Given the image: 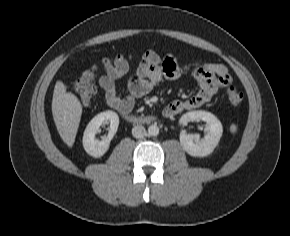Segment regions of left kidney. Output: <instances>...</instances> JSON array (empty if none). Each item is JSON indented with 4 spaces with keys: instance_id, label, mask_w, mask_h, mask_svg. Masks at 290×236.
<instances>
[{
    "instance_id": "obj_1",
    "label": "left kidney",
    "mask_w": 290,
    "mask_h": 236,
    "mask_svg": "<svg viewBox=\"0 0 290 236\" xmlns=\"http://www.w3.org/2000/svg\"><path fill=\"white\" fill-rule=\"evenodd\" d=\"M202 120L207 123V133L200 139L199 135L187 134L185 131L180 133V144L183 149L191 156L205 157L213 152L218 145L223 133L221 122L212 113L206 111H191L185 113L180 123L188 121Z\"/></svg>"
}]
</instances>
